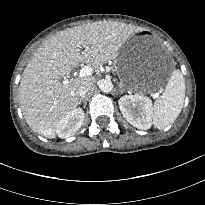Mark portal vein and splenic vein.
<instances>
[{
    "instance_id": "obj_1",
    "label": "portal vein and splenic vein",
    "mask_w": 205,
    "mask_h": 205,
    "mask_svg": "<svg viewBox=\"0 0 205 205\" xmlns=\"http://www.w3.org/2000/svg\"><path fill=\"white\" fill-rule=\"evenodd\" d=\"M92 74H93V68L90 67V66H85V67L81 68V70H80V72H79V77H80V78H84V77L89 76V75H92ZM68 82H69L68 79H65V80L63 81L64 84H68ZM158 96H159L158 93H154V94H153V97H154V98H157Z\"/></svg>"
}]
</instances>
